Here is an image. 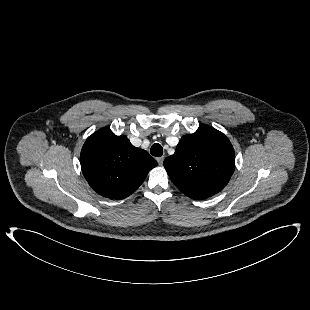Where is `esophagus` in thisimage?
<instances>
[{
  "instance_id": "obj_1",
  "label": "esophagus",
  "mask_w": 310,
  "mask_h": 310,
  "mask_svg": "<svg viewBox=\"0 0 310 310\" xmlns=\"http://www.w3.org/2000/svg\"><path fill=\"white\" fill-rule=\"evenodd\" d=\"M163 161H164V157H158L157 158V162H158L159 165H162Z\"/></svg>"
}]
</instances>
